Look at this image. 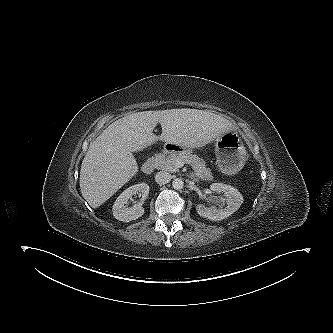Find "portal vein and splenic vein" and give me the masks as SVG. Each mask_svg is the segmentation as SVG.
<instances>
[{"instance_id":"18ae733b","label":"portal vein and splenic vein","mask_w":333,"mask_h":333,"mask_svg":"<svg viewBox=\"0 0 333 333\" xmlns=\"http://www.w3.org/2000/svg\"><path fill=\"white\" fill-rule=\"evenodd\" d=\"M176 164H177L178 167H182V166L184 165V162H182V161H177Z\"/></svg>"}]
</instances>
